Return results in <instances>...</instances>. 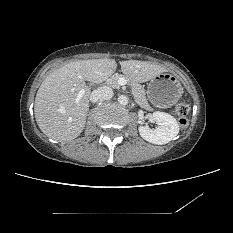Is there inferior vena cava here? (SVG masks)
<instances>
[{"mask_svg": "<svg viewBox=\"0 0 233 233\" xmlns=\"http://www.w3.org/2000/svg\"><path fill=\"white\" fill-rule=\"evenodd\" d=\"M113 97V90L108 86H102L94 90L90 95L91 102L95 103L98 100H109Z\"/></svg>", "mask_w": 233, "mask_h": 233, "instance_id": "inferior-vena-cava-1", "label": "inferior vena cava"}]
</instances>
